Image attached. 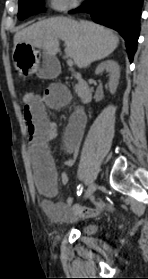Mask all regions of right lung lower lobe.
<instances>
[{
    "label": "right lung lower lobe",
    "mask_w": 148,
    "mask_h": 279,
    "mask_svg": "<svg viewBox=\"0 0 148 279\" xmlns=\"http://www.w3.org/2000/svg\"><path fill=\"white\" fill-rule=\"evenodd\" d=\"M143 0H87L72 11L87 12L96 23L117 30L125 39L129 60L137 50Z\"/></svg>",
    "instance_id": "right-lung-lower-lobe-1"
}]
</instances>
